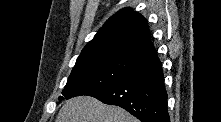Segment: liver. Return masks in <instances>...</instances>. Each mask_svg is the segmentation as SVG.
<instances>
[{
	"label": "liver",
	"mask_w": 221,
	"mask_h": 122,
	"mask_svg": "<svg viewBox=\"0 0 221 122\" xmlns=\"http://www.w3.org/2000/svg\"><path fill=\"white\" fill-rule=\"evenodd\" d=\"M56 122H138L121 107L106 105L90 96L69 99L60 109Z\"/></svg>",
	"instance_id": "liver-1"
}]
</instances>
